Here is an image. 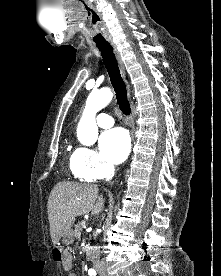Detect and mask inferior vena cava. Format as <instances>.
<instances>
[{"instance_id":"inferior-vena-cava-1","label":"inferior vena cava","mask_w":221,"mask_h":276,"mask_svg":"<svg viewBox=\"0 0 221 276\" xmlns=\"http://www.w3.org/2000/svg\"><path fill=\"white\" fill-rule=\"evenodd\" d=\"M115 169L113 165L107 167V177L111 178L114 176ZM89 259L92 261L93 266L97 269L102 265L100 260V249L98 246H94L90 252Z\"/></svg>"}]
</instances>
